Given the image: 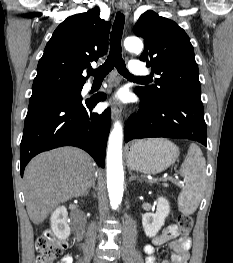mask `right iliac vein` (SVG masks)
<instances>
[{
  "label": "right iliac vein",
  "mask_w": 233,
  "mask_h": 263,
  "mask_svg": "<svg viewBox=\"0 0 233 263\" xmlns=\"http://www.w3.org/2000/svg\"><path fill=\"white\" fill-rule=\"evenodd\" d=\"M94 263H102V262L95 261Z\"/></svg>",
  "instance_id": "63e3f726"
}]
</instances>
